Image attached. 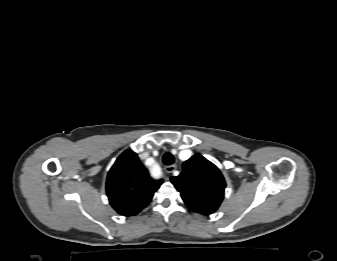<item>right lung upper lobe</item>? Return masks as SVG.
I'll use <instances>...</instances> for the list:
<instances>
[{"mask_svg": "<svg viewBox=\"0 0 337 261\" xmlns=\"http://www.w3.org/2000/svg\"><path fill=\"white\" fill-rule=\"evenodd\" d=\"M162 180H153L138 156L124 151L110 169L106 192L111 206L121 215L138 214L152 199Z\"/></svg>", "mask_w": 337, "mask_h": 261, "instance_id": "obj_1", "label": "right lung upper lobe"}]
</instances>
